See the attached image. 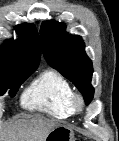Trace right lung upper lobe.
Returning a JSON list of instances; mask_svg holds the SVG:
<instances>
[{"instance_id": "1", "label": "right lung upper lobe", "mask_w": 119, "mask_h": 141, "mask_svg": "<svg viewBox=\"0 0 119 141\" xmlns=\"http://www.w3.org/2000/svg\"><path fill=\"white\" fill-rule=\"evenodd\" d=\"M18 39L5 40L0 53V74L34 72L40 62L39 35L33 24L15 27Z\"/></svg>"}]
</instances>
